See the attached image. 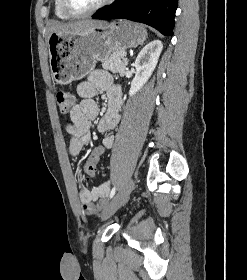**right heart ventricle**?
<instances>
[{
  "label": "right heart ventricle",
  "mask_w": 247,
  "mask_h": 280,
  "mask_svg": "<svg viewBox=\"0 0 247 280\" xmlns=\"http://www.w3.org/2000/svg\"><path fill=\"white\" fill-rule=\"evenodd\" d=\"M54 11L55 15L61 20H69L71 18L62 8V0H54Z\"/></svg>",
  "instance_id": "e07e8e85"
}]
</instances>
